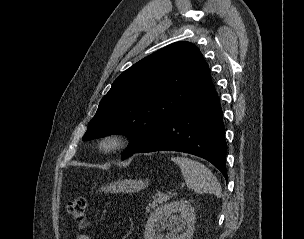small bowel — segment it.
I'll list each match as a JSON object with an SVG mask.
<instances>
[{
    "mask_svg": "<svg viewBox=\"0 0 304 239\" xmlns=\"http://www.w3.org/2000/svg\"><path fill=\"white\" fill-rule=\"evenodd\" d=\"M76 239H90L88 235L86 234H79Z\"/></svg>",
    "mask_w": 304,
    "mask_h": 239,
    "instance_id": "obj_1",
    "label": "small bowel"
}]
</instances>
